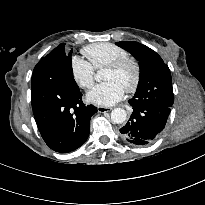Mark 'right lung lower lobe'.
Segmentation results:
<instances>
[{"label": "right lung lower lobe", "mask_w": 205, "mask_h": 205, "mask_svg": "<svg viewBox=\"0 0 205 205\" xmlns=\"http://www.w3.org/2000/svg\"><path fill=\"white\" fill-rule=\"evenodd\" d=\"M71 54L59 45L34 68L31 103L37 127L54 151L67 153L88 138L93 105L85 106L82 93L72 75Z\"/></svg>", "instance_id": "1"}]
</instances>
